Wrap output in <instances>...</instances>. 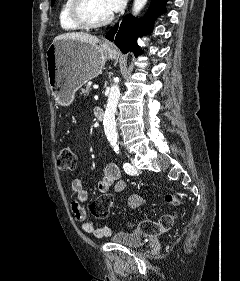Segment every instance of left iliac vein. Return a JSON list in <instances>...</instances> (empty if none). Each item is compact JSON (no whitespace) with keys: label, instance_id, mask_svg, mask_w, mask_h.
Listing matches in <instances>:
<instances>
[{"label":"left iliac vein","instance_id":"left-iliac-vein-1","mask_svg":"<svg viewBox=\"0 0 240 281\" xmlns=\"http://www.w3.org/2000/svg\"><path fill=\"white\" fill-rule=\"evenodd\" d=\"M131 163L133 164L134 162H133V159H131ZM136 170V169H135ZM136 172H138L137 170H136Z\"/></svg>","mask_w":240,"mask_h":281}]
</instances>
